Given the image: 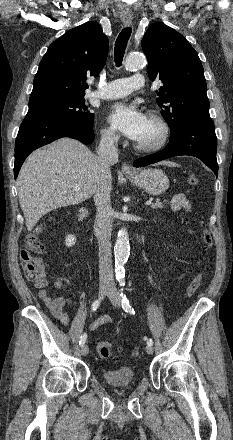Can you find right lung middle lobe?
I'll use <instances>...</instances> for the list:
<instances>
[{
  "instance_id": "obj_1",
  "label": "right lung middle lobe",
  "mask_w": 233,
  "mask_h": 440,
  "mask_svg": "<svg viewBox=\"0 0 233 440\" xmlns=\"http://www.w3.org/2000/svg\"><path fill=\"white\" fill-rule=\"evenodd\" d=\"M84 98H56L29 104L27 114L41 113L74 120L85 127L93 128L94 115L87 111Z\"/></svg>"
}]
</instances>
